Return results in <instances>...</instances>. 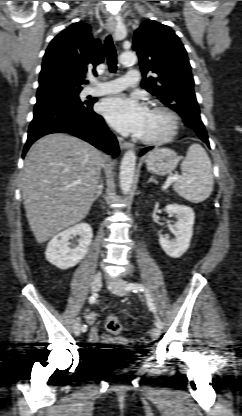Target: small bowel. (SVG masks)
<instances>
[{
    "mask_svg": "<svg viewBox=\"0 0 242 416\" xmlns=\"http://www.w3.org/2000/svg\"><path fill=\"white\" fill-rule=\"evenodd\" d=\"M98 319V314L94 312H89L85 314V320L91 326L89 332V341L94 345H108L113 341V338H111L108 335L100 334L99 329L97 327Z\"/></svg>",
    "mask_w": 242,
    "mask_h": 416,
    "instance_id": "small-bowel-1",
    "label": "small bowel"
}]
</instances>
